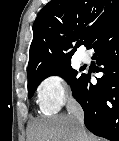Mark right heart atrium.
I'll use <instances>...</instances> for the list:
<instances>
[{
	"label": "right heart atrium",
	"instance_id": "obj_1",
	"mask_svg": "<svg viewBox=\"0 0 119 141\" xmlns=\"http://www.w3.org/2000/svg\"><path fill=\"white\" fill-rule=\"evenodd\" d=\"M37 96L44 112H55L70 98V87L63 76L51 74L38 85Z\"/></svg>",
	"mask_w": 119,
	"mask_h": 141
}]
</instances>
